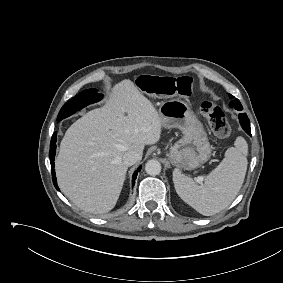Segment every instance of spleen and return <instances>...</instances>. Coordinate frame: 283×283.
Masks as SVG:
<instances>
[{
	"label": "spleen",
	"mask_w": 283,
	"mask_h": 283,
	"mask_svg": "<svg viewBox=\"0 0 283 283\" xmlns=\"http://www.w3.org/2000/svg\"><path fill=\"white\" fill-rule=\"evenodd\" d=\"M234 145L227 149L222 162L205 177L202 185H197L179 169L173 171L179 197L204 216L214 215L229 206L244 182L248 145L243 137H237Z\"/></svg>",
	"instance_id": "spleen-1"
}]
</instances>
